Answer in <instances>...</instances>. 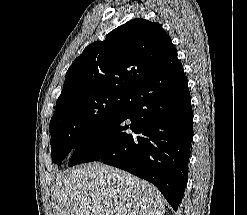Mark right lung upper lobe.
I'll list each match as a JSON object with an SVG mask.
<instances>
[{
  "label": "right lung upper lobe",
  "instance_id": "cb5924a9",
  "mask_svg": "<svg viewBox=\"0 0 247 215\" xmlns=\"http://www.w3.org/2000/svg\"><path fill=\"white\" fill-rule=\"evenodd\" d=\"M176 51L159 23L133 19L87 46L66 73L56 108L100 93L131 95ZM55 108V109H56Z\"/></svg>",
  "mask_w": 247,
  "mask_h": 215
}]
</instances>
